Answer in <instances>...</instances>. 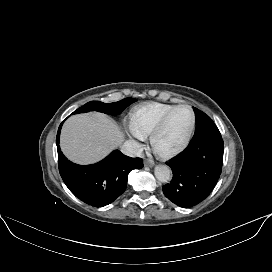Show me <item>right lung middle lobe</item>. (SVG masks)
<instances>
[{
	"label": "right lung middle lobe",
	"mask_w": 272,
	"mask_h": 272,
	"mask_svg": "<svg viewBox=\"0 0 272 272\" xmlns=\"http://www.w3.org/2000/svg\"><path fill=\"white\" fill-rule=\"evenodd\" d=\"M134 101L135 99H132V98H125L123 100H120L118 102H113V103L91 101L86 103L82 107L78 108L72 114L85 113L89 111H98V112H103L106 114H118Z\"/></svg>",
	"instance_id": "dd1d6c3e"
}]
</instances>
